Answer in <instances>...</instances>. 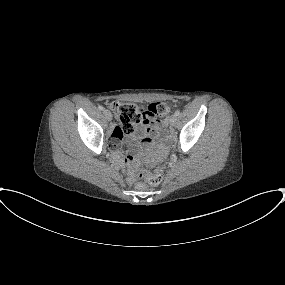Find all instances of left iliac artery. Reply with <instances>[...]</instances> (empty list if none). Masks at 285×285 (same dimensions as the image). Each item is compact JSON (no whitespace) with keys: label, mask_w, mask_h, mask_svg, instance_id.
Segmentation results:
<instances>
[{"label":"left iliac artery","mask_w":285,"mask_h":285,"mask_svg":"<svg viewBox=\"0 0 285 285\" xmlns=\"http://www.w3.org/2000/svg\"><path fill=\"white\" fill-rule=\"evenodd\" d=\"M174 114H175L176 116H179L180 110H176Z\"/></svg>","instance_id":"44dca946"}]
</instances>
